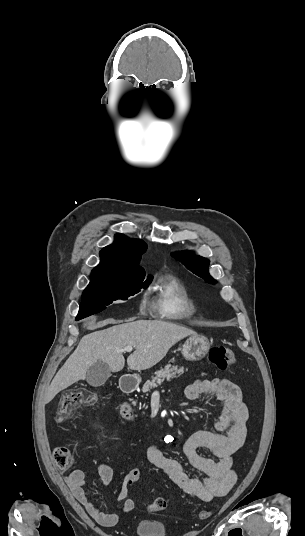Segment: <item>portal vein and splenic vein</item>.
<instances>
[{"instance_id": "portal-vein-and-splenic-vein-1", "label": "portal vein and splenic vein", "mask_w": 305, "mask_h": 536, "mask_svg": "<svg viewBox=\"0 0 305 536\" xmlns=\"http://www.w3.org/2000/svg\"><path fill=\"white\" fill-rule=\"evenodd\" d=\"M132 346H125L124 350H119V352H132Z\"/></svg>"}]
</instances>
